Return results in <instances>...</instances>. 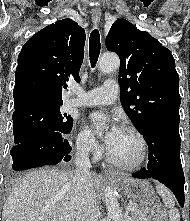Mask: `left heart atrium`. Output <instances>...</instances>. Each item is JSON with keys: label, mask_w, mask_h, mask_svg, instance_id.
Masks as SVG:
<instances>
[{"label": "left heart atrium", "mask_w": 190, "mask_h": 221, "mask_svg": "<svg viewBox=\"0 0 190 221\" xmlns=\"http://www.w3.org/2000/svg\"><path fill=\"white\" fill-rule=\"evenodd\" d=\"M107 121L111 122V126L105 138L106 143H108L117 134L120 128L116 124L115 120H113L112 118H110L104 113L97 112V113H93L90 116V122L94 128L98 127L100 124L107 122Z\"/></svg>", "instance_id": "39dd6f15"}]
</instances>
